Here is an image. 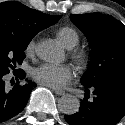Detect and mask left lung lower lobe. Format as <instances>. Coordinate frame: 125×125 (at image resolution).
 Segmentation results:
<instances>
[{
	"label": "left lung lower lobe",
	"mask_w": 125,
	"mask_h": 125,
	"mask_svg": "<svg viewBox=\"0 0 125 125\" xmlns=\"http://www.w3.org/2000/svg\"><path fill=\"white\" fill-rule=\"evenodd\" d=\"M87 88L93 89L92 102L85 95L81 100L79 111L65 115L70 125H116L125 115V79L102 80Z\"/></svg>",
	"instance_id": "1"
}]
</instances>
